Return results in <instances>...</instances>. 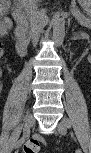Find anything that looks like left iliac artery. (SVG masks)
Segmentation results:
<instances>
[{"label": "left iliac artery", "instance_id": "44dca946", "mask_svg": "<svg viewBox=\"0 0 91 153\" xmlns=\"http://www.w3.org/2000/svg\"><path fill=\"white\" fill-rule=\"evenodd\" d=\"M68 130H71V122L69 119L65 120ZM68 135H74V132H68ZM74 143H77V140H74ZM75 153H83V151H81L80 149H78L77 151H75Z\"/></svg>", "mask_w": 91, "mask_h": 153}]
</instances>
